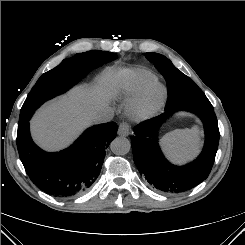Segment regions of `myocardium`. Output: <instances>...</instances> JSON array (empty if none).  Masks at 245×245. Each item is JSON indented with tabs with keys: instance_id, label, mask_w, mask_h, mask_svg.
Masks as SVG:
<instances>
[{
	"instance_id": "myocardium-1",
	"label": "myocardium",
	"mask_w": 245,
	"mask_h": 245,
	"mask_svg": "<svg viewBox=\"0 0 245 245\" xmlns=\"http://www.w3.org/2000/svg\"><path fill=\"white\" fill-rule=\"evenodd\" d=\"M154 91H157V96L152 99L151 96ZM166 100V88L158 82H153L147 85L140 95L130 103L128 114L138 122L149 120L162 110Z\"/></svg>"
}]
</instances>
